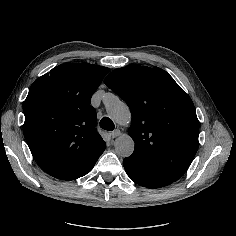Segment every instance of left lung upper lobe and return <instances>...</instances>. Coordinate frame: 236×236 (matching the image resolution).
Returning <instances> with one entry per match:
<instances>
[{
	"mask_svg": "<svg viewBox=\"0 0 236 236\" xmlns=\"http://www.w3.org/2000/svg\"><path fill=\"white\" fill-rule=\"evenodd\" d=\"M104 83L129 106L134 158L173 181L190 166L198 149L199 122L190 97L159 67L130 65Z\"/></svg>",
	"mask_w": 236,
	"mask_h": 236,
	"instance_id": "obj_1",
	"label": "left lung upper lobe"
}]
</instances>
